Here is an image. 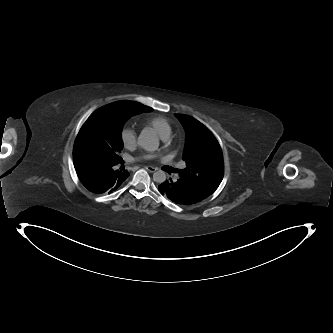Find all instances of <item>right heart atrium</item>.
<instances>
[{
  "mask_svg": "<svg viewBox=\"0 0 333 333\" xmlns=\"http://www.w3.org/2000/svg\"><path fill=\"white\" fill-rule=\"evenodd\" d=\"M120 138L123 146L126 149H132L135 147L137 142V134L134 128L127 126L121 130Z\"/></svg>",
  "mask_w": 333,
  "mask_h": 333,
  "instance_id": "d8ad5b80",
  "label": "right heart atrium"
}]
</instances>
